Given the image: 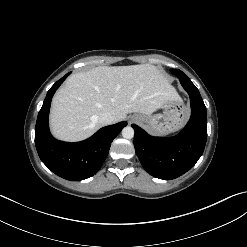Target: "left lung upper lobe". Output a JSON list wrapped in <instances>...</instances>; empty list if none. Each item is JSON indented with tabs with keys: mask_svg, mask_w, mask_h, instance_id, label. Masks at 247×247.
I'll return each mask as SVG.
<instances>
[{
	"mask_svg": "<svg viewBox=\"0 0 247 247\" xmlns=\"http://www.w3.org/2000/svg\"><path fill=\"white\" fill-rule=\"evenodd\" d=\"M172 72H173L174 74H178L179 72H182V71H180V70H178V69H174V70H172Z\"/></svg>",
	"mask_w": 247,
	"mask_h": 247,
	"instance_id": "1",
	"label": "left lung upper lobe"
}]
</instances>
